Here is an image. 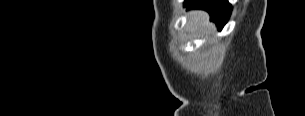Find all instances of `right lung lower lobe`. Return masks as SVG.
I'll list each match as a JSON object with an SVG mask.
<instances>
[{
  "label": "right lung lower lobe",
  "mask_w": 305,
  "mask_h": 116,
  "mask_svg": "<svg viewBox=\"0 0 305 116\" xmlns=\"http://www.w3.org/2000/svg\"><path fill=\"white\" fill-rule=\"evenodd\" d=\"M184 5L208 11L211 21L217 24L219 30L228 21L232 10L228 0H185Z\"/></svg>",
  "instance_id": "98d812e1"
}]
</instances>
